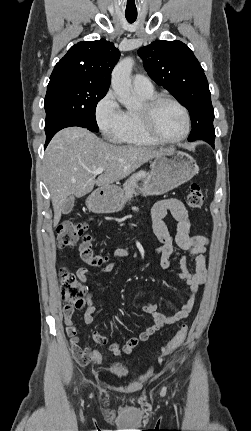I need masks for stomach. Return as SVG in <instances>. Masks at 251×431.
Returning a JSON list of instances; mask_svg holds the SVG:
<instances>
[{
	"label": "stomach",
	"instance_id": "0dacf381",
	"mask_svg": "<svg viewBox=\"0 0 251 431\" xmlns=\"http://www.w3.org/2000/svg\"><path fill=\"white\" fill-rule=\"evenodd\" d=\"M197 172L198 166L189 154L170 148L155 157L151 171L139 189L144 196L164 194L189 181ZM124 203L123 190L114 185L96 190L86 201L87 207L94 213L118 212Z\"/></svg>",
	"mask_w": 251,
	"mask_h": 431
}]
</instances>
